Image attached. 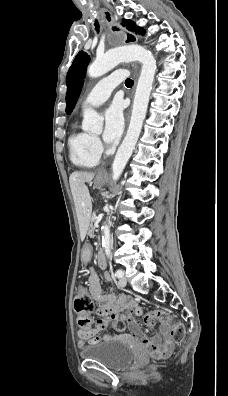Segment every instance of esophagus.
Here are the masks:
<instances>
[{"instance_id": "esophagus-1", "label": "esophagus", "mask_w": 228, "mask_h": 396, "mask_svg": "<svg viewBox=\"0 0 228 396\" xmlns=\"http://www.w3.org/2000/svg\"><path fill=\"white\" fill-rule=\"evenodd\" d=\"M100 13H101L102 18L104 19V21L106 22V24L108 26L112 27L117 24L116 19L114 18V16L112 15V13L109 10L101 9ZM135 83H136V80H135ZM129 112H130V110H129ZM98 173L103 175V174H106L107 172L105 169H100Z\"/></svg>"}]
</instances>
